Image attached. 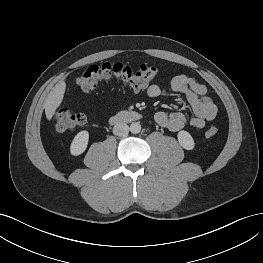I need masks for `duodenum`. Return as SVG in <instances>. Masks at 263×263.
<instances>
[{
    "mask_svg": "<svg viewBox=\"0 0 263 263\" xmlns=\"http://www.w3.org/2000/svg\"><path fill=\"white\" fill-rule=\"evenodd\" d=\"M142 118V115L135 111L123 112L119 115L110 118V123L117 124L122 122H133L138 121Z\"/></svg>",
    "mask_w": 263,
    "mask_h": 263,
    "instance_id": "1",
    "label": "duodenum"
}]
</instances>
